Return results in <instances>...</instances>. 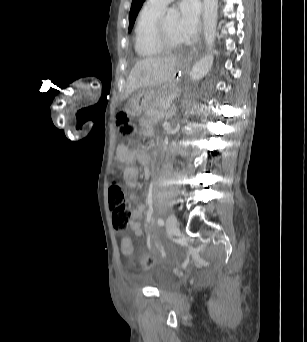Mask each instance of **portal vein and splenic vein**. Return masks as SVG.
I'll use <instances>...</instances> for the list:
<instances>
[{
  "label": "portal vein and splenic vein",
  "instance_id": "obj_1",
  "mask_svg": "<svg viewBox=\"0 0 307 342\" xmlns=\"http://www.w3.org/2000/svg\"><path fill=\"white\" fill-rule=\"evenodd\" d=\"M162 109H163L164 111H167L169 108H168L167 106H164Z\"/></svg>",
  "mask_w": 307,
  "mask_h": 342
}]
</instances>
